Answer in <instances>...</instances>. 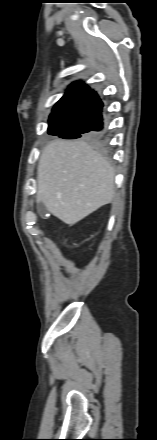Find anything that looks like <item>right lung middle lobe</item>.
Here are the masks:
<instances>
[{
    "mask_svg": "<svg viewBox=\"0 0 157 440\" xmlns=\"http://www.w3.org/2000/svg\"><path fill=\"white\" fill-rule=\"evenodd\" d=\"M49 134L64 139H76L80 137L94 138L95 133L90 127H83L79 121H49Z\"/></svg>",
    "mask_w": 157,
    "mask_h": 440,
    "instance_id": "1",
    "label": "right lung middle lobe"
}]
</instances>
